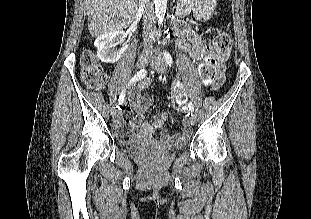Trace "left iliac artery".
Here are the masks:
<instances>
[{"label":"left iliac artery","mask_w":311,"mask_h":219,"mask_svg":"<svg viewBox=\"0 0 311 219\" xmlns=\"http://www.w3.org/2000/svg\"><path fill=\"white\" fill-rule=\"evenodd\" d=\"M164 58H165V61L166 63L171 66L173 64V60H172V57L171 55L169 54V52H167L166 50L164 51ZM188 108L191 112L194 111V105L192 102H189L188 104Z\"/></svg>","instance_id":"obj_1"}]
</instances>
